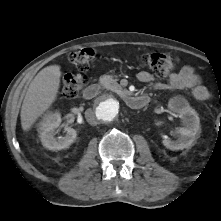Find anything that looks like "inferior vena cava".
<instances>
[{
	"label": "inferior vena cava",
	"instance_id": "1",
	"mask_svg": "<svg viewBox=\"0 0 221 221\" xmlns=\"http://www.w3.org/2000/svg\"><path fill=\"white\" fill-rule=\"evenodd\" d=\"M85 117L87 119V122L90 125H97V119H96L95 114L92 110H90V109L86 110Z\"/></svg>",
	"mask_w": 221,
	"mask_h": 221
}]
</instances>
